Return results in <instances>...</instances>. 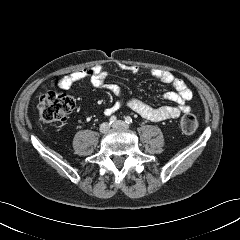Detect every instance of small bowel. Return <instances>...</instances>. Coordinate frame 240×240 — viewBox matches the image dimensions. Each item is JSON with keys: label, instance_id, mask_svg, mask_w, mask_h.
<instances>
[{"label": "small bowel", "instance_id": "obj_1", "mask_svg": "<svg viewBox=\"0 0 240 240\" xmlns=\"http://www.w3.org/2000/svg\"><path fill=\"white\" fill-rule=\"evenodd\" d=\"M117 66L132 73L138 72V68L136 66L126 65L122 63H118ZM151 75L155 80L166 85H171L174 88V91L167 92L164 95V99L175 103V105L153 107L138 98H129L126 101V104L133 111L145 119L154 122H161L178 118L182 113H186L190 110L187 102L191 99L192 92L181 78L174 76L168 71L159 69H153L151 71ZM107 76L108 74L104 70L103 66L93 65L64 76L61 79V86L62 88H68L73 82L80 80H89L93 87L104 88L112 92L118 96L119 99H117L110 107L105 110V113L107 115H110L121 107L123 101L121 99L122 88L117 84L106 83Z\"/></svg>", "mask_w": 240, "mask_h": 240}]
</instances>
